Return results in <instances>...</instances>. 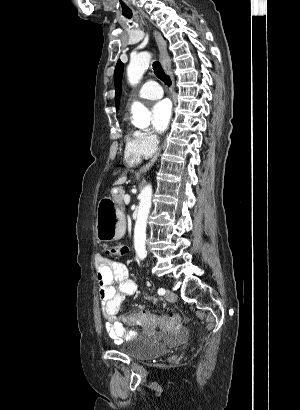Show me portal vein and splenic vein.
Masks as SVG:
<instances>
[{
    "label": "portal vein and splenic vein",
    "instance_id": "18ae733b",
    "mask_svg": "<svg viewBox=\"0 0 300 410\" xmlns=\"http://www.w3.org/2000/svg\"><path fill=\"white\" fill-rule=\"evenodd\" d=\"M124 202L126 205L130 203V196L128 194L124 195Z\"/></svg>",
    "mask_w": 300,
    "mask_h": 410
}]
</instances>
